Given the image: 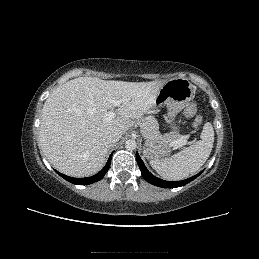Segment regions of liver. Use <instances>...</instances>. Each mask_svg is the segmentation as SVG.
Listing matches in <instances>:
<instances>
[{"mask_svg": "<svg viewBox=\"0 0 259 259\" xmlns=\"http://www.w3.org/2000/svg\"><path fill=\"white\" fill-rule=\"evenodd\" d=\"M166 81H106L79 77L55 89L45 101L39 143L48 161L73 177L96 174L103 166L111 131L125 134L155 103ZM121 100L116 118L104 120Z\"/></svg>", "mask_w": 259, "mask_h": 259, "instance_id": "6515ba94", "label": "liver"}]
</instances>
